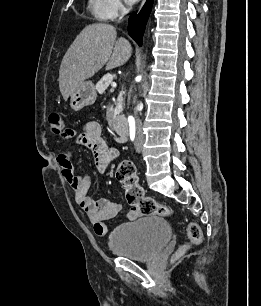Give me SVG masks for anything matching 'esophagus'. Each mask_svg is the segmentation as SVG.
Returning <instances> with one entry per match:
<instances>
[{
    "label": "esophagus",
    "instance_id": "1",
    "mask_svg": "<svg viewBox=\"0 0 261 306\" xmlns=\"http://www.w3.org/2000/svg\"><path fill=\"white\" fill-rule=\"evenodd\" d=\"M145 0H143L142 5L144 4Z\"/></svg>",
    "mask_w": 261,
    "mask_h": 306
}]
</instances>
